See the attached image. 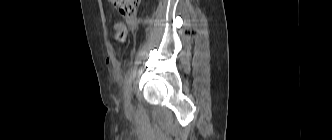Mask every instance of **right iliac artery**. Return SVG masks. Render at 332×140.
Listing matches in <instances>:
<instances>
[{"label": "right iliac artery", "mask_w": 332, "mask_h": 140, "mask_svg": "<svg viewBox=\"0 0 332 140\" xmlns=\"http://www.w3.org/2000/svg\"><path fill=\"white\" fill-rule=\"evenodd\" d=\"M130 85H131V76L128 74L125 78L124 82V94L126 95L129 90H130Z\"/></svg>", "instance_id": "82829eb1"}]
</instances>
